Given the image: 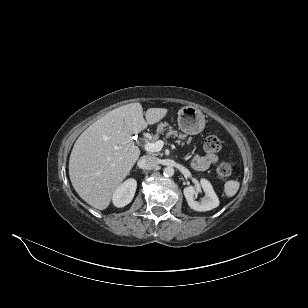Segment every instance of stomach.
<instances>
[{
  "mask_svg": "<svg viewBox=\"0 0 308 308\" xmlns=\"http://www.w3.org/2000/svg\"><path fill=\"white\" fill-rule=\"evenodd\" d=\"M177 121L179 129L190 135L200 133L205 127V116L193 106L181 108L178 112Z\"/></svg>",
  "mask_w": 308,
  "mask_h": 308,
  "instance_id": "0dacf381",
  "label": "stomach"
}]
</instances>
